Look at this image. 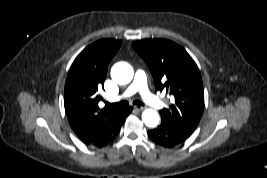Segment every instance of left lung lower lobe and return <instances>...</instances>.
I'll list each match as a JSON object with an SVG mask.
<instances>
[{
    "label": "left lung lower lobe",
    "instance_id": "0a47b994",
    "mask_svg": "<svg viewBox=\"0 0 267 178\" xmlns=\"http://www.w3.org/2000/svg\"><path fill=\"white\" fill-rule=\"evenodd\" d=\"M148 135L154 143L168 148L183 143L189 137L166 120H162L157 128L149 130Z\"/></svg>",
    "mask_w": 267,
    "mask_h": 178
}]
</instances>
